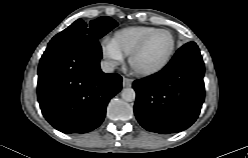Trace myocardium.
Returning <instances> with one entry per match:
<instances>
[{
    "instance_id": "obj_1",
    "label": "myocardium",
    "mask_w": 248,
    "mask_h": 158,
    "mask_svg": "<svg viewBox=\"0 0 248 158\" xmlns=\"http://www.w3.org/2000/svg\"><path fill=\"white\" fill-rule=\"evenodd\" d=\"M166 33L170 36L171 38V48L166 56V58L157 66L152 67V68H148V69H138L134 66V61L136 59V57L142 52V50L144 49L145 45L147 44L148 40L156 33ZM175 49H176V39L174 37V35L166 29H155L151 32H149L148 34H146L141 41L137 44V46L133 49V51L130 53L129 55V65L131 67V69L139 75H143V76H149V75H154L160 71H162L171 61L174 53H175Z\"/></svg>"
}]
</instances>
